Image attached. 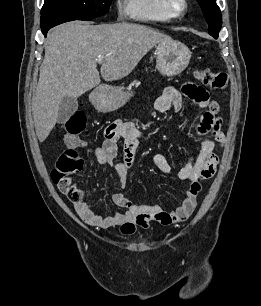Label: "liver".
<instances>
[{
	"label": "liver",
	"mask_w": 261,
	"mask_h": 306,
	"mask_svg": "<svg viewBox=\"0 0 261 306\" xmlns=\"http://www.w3.org/2000/svg\"><path fill=\"white\" fill-rule=\"evenodd\" d=\"M171 37L150 27L132 23L90 25L79 21L55 27L45 42V56L32 98L37 137L43 142L58 119L64 97L77 99L101 82L128 76L139 61L160 42Z\"/></svg>",
	"instance_id": "1"
}]
</instances>
